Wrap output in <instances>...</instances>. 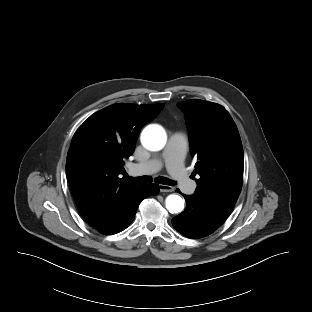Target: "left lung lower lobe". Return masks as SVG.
Masks as SVG:
<instances>
[{
  "mask_svg": "<svg viewBox=\"0 0 312 312\" xmlns=\"http://www.w3.org/2000/svg\"><path fill=\"white\" fill-rule=\"evenodd\" d=\"M185 211L172 219L173 227L189 238H202L213 233L228 217L213 206L199 201L193 195H184Z\"/></svg>",
  "mask_w": 312,
  "mask_h": 312,
  "instance_id": "obj_1",
  "label": "left lung lower lobe"
}]
</instances>
